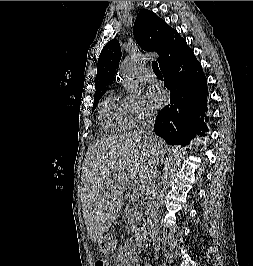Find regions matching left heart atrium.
<instances>
[{
    "instance_id": "1",
    "label": "left heart atrium",
    "mask_w": 253,
    "mask_h": 266,
    "mask_svg": "<svg viewBox=\"0 0 253 266\" xmlns=\"http://www.w3.org/2000/svg\"><path fill=\"white\" fill-rule=\"evenodd\" d=\"M147 94H148L150 103L154 107L161 106V104L165 101L164 93L158 88H154V87L149 88Z\"/></svg>"
}]
</instances>
